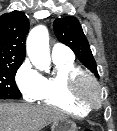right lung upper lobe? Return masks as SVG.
<instances>
[{
  "mask_svg": "<svg viewBox=\"0 0 117 131\" xmlns=\"http://www.w3.org/2000/svg\"><path fill=\"white\" fill-rule=\"evenodd\" d=\"M29 21L21 11L0 16V63H21L25 58V40Z\"/></svg>",
  "mask_w": 117,
  "mask_h": 131,
  "instance_id": "right-lung-upper-lobe-1",
  "label": "right lung upper lobe"
}]
</instances>
